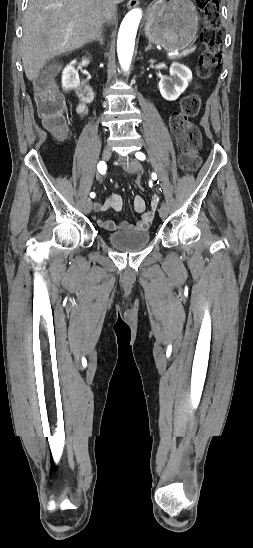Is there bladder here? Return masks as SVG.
Segmentation results:
<instances>
[{"label":"bladder","mask_w":253,"mask_h":548,"mask_svg":"<svg viewBox=\"0 0 253 548\" xmlns=\"http://www.w3.org/2000/svg\"><path fill=\"white\" fill-rule=\"evenodd\" d=\"M109 244L123 252H136L145 248L151 236L148 231H116L107 236Z\"/></svg>","instance_id":"obj_1"}]
</instances>
